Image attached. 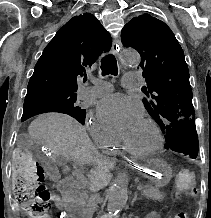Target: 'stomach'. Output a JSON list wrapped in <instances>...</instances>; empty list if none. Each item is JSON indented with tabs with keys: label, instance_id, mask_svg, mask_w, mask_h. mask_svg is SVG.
I'll return each instance as SVG.
<instances>
[{
	"label": "stomach",
	"instance_id": "1",
	"mask_svg": "<svg viewBox=\"0 0 211 218\" xmlns=\"http://www.w3.org/2000/svg\"><path fill=\"white\" fill-rule=\"evenodd\" d=\"M156 187L167 185L172 176L171 167L163 160H151L140 169Z\"/></svg>",
	"mask_w": 211,
	"mask_h": 218
}]
</instances>
